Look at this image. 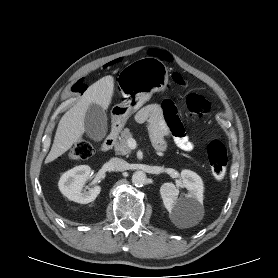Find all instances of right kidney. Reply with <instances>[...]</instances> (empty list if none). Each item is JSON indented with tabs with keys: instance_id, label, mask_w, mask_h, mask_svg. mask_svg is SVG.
<instances>
[{
	"instance_id": "right-kidney-1",
	"label": "right kidney",
	"mask_w": 278,
	"mask_h": 278,
	"mask_svg": "<svg viewBox=\"0 0 278 278\" xmlns=\"http://www.w3.org/2000/svg\"><path fill=\"white\" fill-rule=\"evenodd\" d=\"M90 173L91 168L87 165L77 166L65 172L58 182L61 193L69 200L81 204L94 201L101 191L100 186H94L88 191H83Z\"/></svg>"
}]
</instances>
